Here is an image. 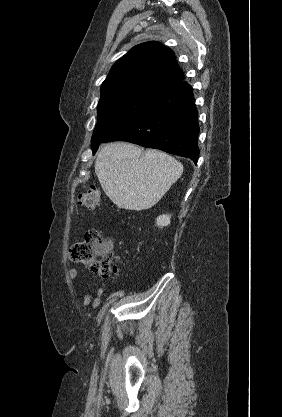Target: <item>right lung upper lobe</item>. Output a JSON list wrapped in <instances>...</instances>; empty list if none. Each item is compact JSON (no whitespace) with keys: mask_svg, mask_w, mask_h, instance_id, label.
I'll return each instance as SVG.
<instances>
[{"mask_svg":"<svg viewBox=\"0 0 282 417\" xmlns=\"http://www.w3.org/2000/svg\"><path fill=\"white\" fill-rule=\"evenodd\" d=\"M183 79L173 51L151 41L133 47L112 66L101 94L127 90L160 93Z\"/></svg>","mask_w":282,"mask_h":417,"instance_id":"obj_1","label":"right lung upper lobe"}]
</instances>
